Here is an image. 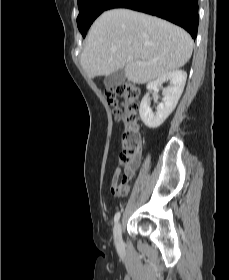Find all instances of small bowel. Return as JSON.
Segmentation results:
<instances>
[{"instance_id":"small-bowel-1","label":"small bowel","mask_w":229,"mask_h":280,"mask_svg":"<svg viewBox=\"0 0 229 280\" xmlns=\"http://www.w3.org/2000/svg\"><path fill=\"white\" fill-rule=\"evenodd\" d=\"M136 165H137V162H135L132 166L126 168L128 178H130ZM119 174H120V170L117 168L114 172V176H113V180H112L113 184L117 182ZM127 192H115V195H116V197L121 198V197H124L127 194Z\"/></svg>"}]
</instances>
